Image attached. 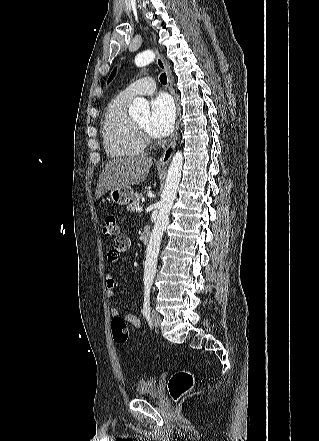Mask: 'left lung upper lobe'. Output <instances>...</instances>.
<instances>
[{
    "mask_svg": "<svg viewBox=\"0 0 319 441\" xmlns=\"http://www.w3.org/2000/svg\"><path fill=\"white\" fill-rule=\"evenodd\" d=\"M115 71H116V69L113 70L111 76L109 77L108 83L113 79V77L115 75Z\"/></svg>",
    "mask_w": 319,
    "mask_h": 441,
    "instance_id": "obj_1",
    "label": "left lung upper lobe"
}]
</instances>
